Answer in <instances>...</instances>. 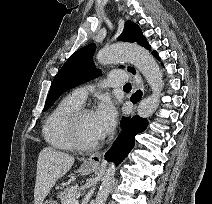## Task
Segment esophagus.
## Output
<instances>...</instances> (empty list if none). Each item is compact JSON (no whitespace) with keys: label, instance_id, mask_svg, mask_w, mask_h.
<instances>
[{"label":"esophagus","instance_id":"1","mask_svg":"<svg viewBox=\"0 0 212 204\" xmlns=\"http://www.w3.org/2000/svg\"><path fill=\"white\" fill-rule=\"evenodd\" d=\"M144 89V85H143V80L140 76L139 73H136L133 75V81H132V91L136 92L137 90H143ZM104 153H95L92 154L91 156H89L87 158V160L85 161V163L87 165H98L102 159Z\"/></svg>","mask_w":212,"mask_h":204}]
</instances>
